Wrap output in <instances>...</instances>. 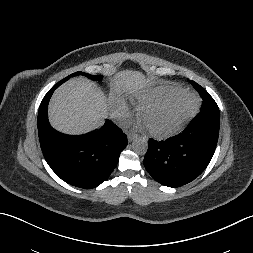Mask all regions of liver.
<instances>
[{"label":"liver","mask_w":253,"mask_h":253,"mask_svg":"<svg viewBox=\"0 0 253 253\" xmlns=\"http://www.w3.org/2000/svg\"><path fill=\"white\" fill-rule=\"evenodd\" d=\"M146 85L148 79L141 72L125 70L113 78L111 92H133ZM109 100L90 80L72 78L55 91L50 101L51 125L67 134H82L97 129L108 116Z\"/></svg>","instance_id":"liver-1"}]
</instances>
